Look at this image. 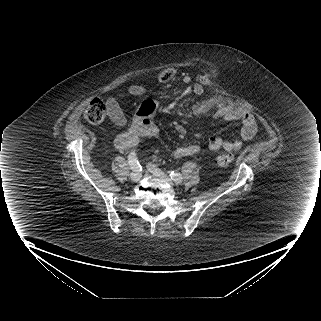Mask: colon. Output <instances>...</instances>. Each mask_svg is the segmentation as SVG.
Masks as SVG:
<instances>
[{"label":"colon","instance_id":"1","mask_svg":"<svg viewBox=\"0 0 321 321\" xmlns=\"http://www.w3.org/2000/svg\"><path fill=\"white\" fill-rule=\"evenodd\" d=\"M174 77V71L170 68L163 69L159 74V80L162 82H168ZM197 82L202 86L209 84V79L206 74H201L197 79ZM108 109L106 104L99 98H95L89 102L83 112V118L86 122L99 125L106 119ZM234 160V156L229 153H222L215 157L214 162L218 166L225 167L230 165Z\"/></svg>","mask_w":321,"mask_h":321}]
</instances>
